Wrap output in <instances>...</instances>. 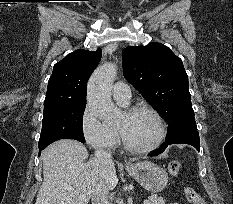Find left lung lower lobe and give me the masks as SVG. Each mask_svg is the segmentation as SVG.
<instances>
[{"instance_id": "obj_1", "label": "left lung lower lobe", "mask_w": 233, "mask_h": 204, "mask_svg": "<svg viewBox=\"0 0 233 204\" xmlns=\"http://www.w3.org/2000/svg\"><path fill=\"white\" fill-rule=\"evenodd\" d=\"M176 143H184L194 146L197 150H199V133L197 131H183L177 133L174 137L169 140H166L159 149L149 153V156H157L162 153L168 145L176 144Z\"/></svg>"}]
</instances>
